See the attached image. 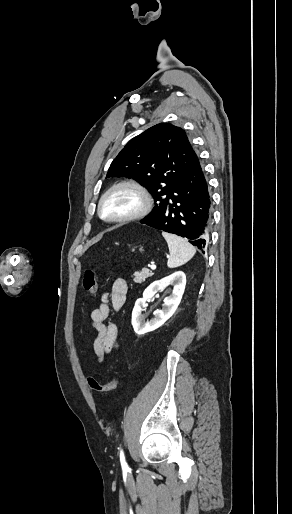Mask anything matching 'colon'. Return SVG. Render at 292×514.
<instances>
[{
    "label": "colon",
    "mask_w": 292,
    "mask_h": 514,
    "mask_svg": "<svg viewBox=\"0 0 292 514\" xmlns=\"http://www.w3.org/2000/svg\"><path fill=\"white\" fill-rule=\"evenodd\" d=\"M83 289L88 297H94L98 290V280L97 274L93 269H87L83 278ZM85 379L89 382V384L94 388L97 392L102 391H112L116 389L118 386V378L113 377L110 381L100 384L96 380H94V376L91 373H88L85 376Z\"/></svg>",
    "instance_id": "colon-1"
}]
</instances>
